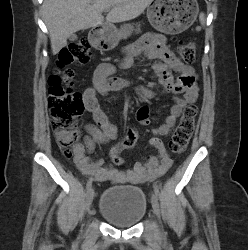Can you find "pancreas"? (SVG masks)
I'll return each instance as SVG.
<instances>
[{"instance_id":"cf45deb5","label":"pancreas","mask_w":248,"mask_h":250,"mask_svg":"<svg viewBox=\"0 0 248 250\" xmlns=\"http://www.w3.org/2000/svg\"><path fill=\"white\" fill-rule=\"evenodd\" d=\"M140 25H138L137 29L135 30L137 33L140 32V28H139ZM132 30V27H130V31Z\"/></svg>"}]
</instances>
